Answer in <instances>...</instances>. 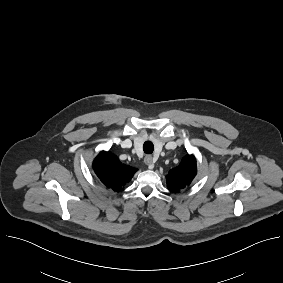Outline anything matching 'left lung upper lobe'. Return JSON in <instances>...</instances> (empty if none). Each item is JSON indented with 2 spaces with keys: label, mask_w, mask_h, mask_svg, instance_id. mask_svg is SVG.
Returning <instances> with one entry per match:
<instances>
[{
  "label": "left lung upper lobe",
  "mask_w": 283,
  "mask_h": 283,
  "mask_svg": "<svg viewBox=\"0 0 283 283\" xmlns=\"http://www.w3.org/2000/svg\"><path fill=\"white\" fill-rule=\"evenodd\" d=\"M196 175V160L194 156H186L182 163L175 169L169 171L166 176L167 188L177 192L188 186Z\"/></svg>",
  "instance_id": "5c2ea615"
}]
</instances>
